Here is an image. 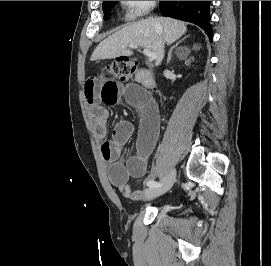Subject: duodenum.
<instances>
[{
	"label": "duodenum",
	"instance_id": "obj_1",
	"mask_svg": "<svg viewBox=\"0 0 271 266\" xmlns=\"http://www.w3.org/2000/svg\"><path fill=\"white\" fill-rule=\"evenodd\" d=\"M137 81L146 86V87H151L153 84L151 75L148 71L146 70H141L138 75H137Z\"/></svg>",
	"mask_w": 271,
	"mask_h": 266
}]
</instances>
